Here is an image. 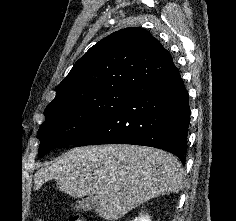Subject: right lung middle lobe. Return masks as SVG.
Returning a JSON list of instances; mask_svg holds the SVG:
<instances>
[{"instance_id":"dd1d6c3e","label":"right lung middle lobe","mask_w":236,"mask_h":221,"mask_svg":"<svg viewBox=\"0 0 236 221\" xmlns=\"http://www.w3.org/2000/svg\"><path fill=\"white\" fill-rule=\"evenodd\" d=\"M136 92L116 88L46 107L45 122L37 132L39 156L55 148L75 144Z\"/></svg>"}]
</instances>
